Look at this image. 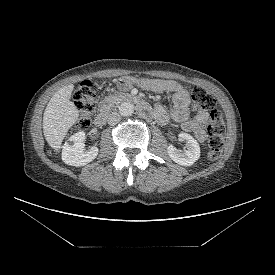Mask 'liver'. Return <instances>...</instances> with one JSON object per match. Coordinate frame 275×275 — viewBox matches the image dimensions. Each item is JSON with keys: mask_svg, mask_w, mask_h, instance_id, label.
<instances>
[{"mask_svg": "<svg viewBox=\"0 0 275 275\" xmlns=\"http://www.w3.org/2000/svg\"><path fill=\"white\" fill-rule=\"evenodd\" d=\"M73 84L60 88L48 102L43 116V133L49 146L58 151L68 130L78 121L79 110L70 101Z\"/></svg>", "mask_w": 275, "mask_h": 275, "instance_id": "6515ba94", "label": "liver"}]
</instances>
